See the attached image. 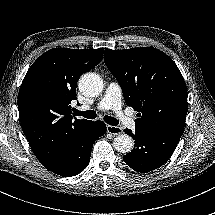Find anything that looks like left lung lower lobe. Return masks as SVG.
Listing matches in <instances>:
<instances>
[{"mask_svg":"<svg viewBox=\"0 0 215 215\" xmlns=\"http://www.w3.org/2000/svg\"><path fill=\"white\" fill-rule=\"evenodd\" d=\"M135 140L134 149L123 159L139 172H149L165 164L173 154L183 133L170 131H146L135 128L124 130Z\"/></svg>","mask_w":215,"mask_h":215,"instance_id":"left-lung-lower-lobe-1","label":"left lung lower lobe"}]
</instances>
